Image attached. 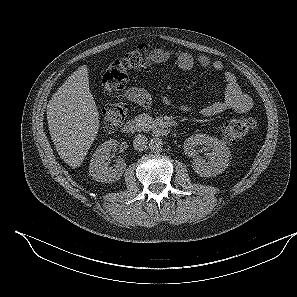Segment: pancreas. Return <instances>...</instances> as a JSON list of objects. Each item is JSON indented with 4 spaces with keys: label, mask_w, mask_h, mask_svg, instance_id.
I'll return each mask as SVG.
<instances>
[{
    "label": "pancreas",
    "mask_w": 297,
    "mask_h": 297,
    "mask_svg": "<svg viewBox=\"0 0 297 297\" xmlns=\"http://www.w3.org/2000/svg\"><path fill=\"white\" fill-rule=\"evenodd\" d=\"M135 121L140 124V128L143 131H149L157 126L153 118L146 114L138 115L137 117H135Z\"/></svg>",
    "instance_id": "pancreas-1"
}]
</instances>
